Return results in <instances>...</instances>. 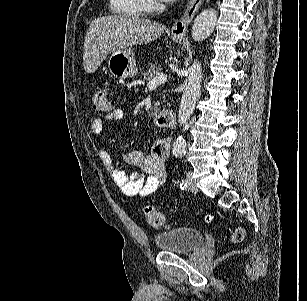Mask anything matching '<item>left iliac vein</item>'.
<instances>
[{"mask_svg": "<svg viewBox=\"0 0 307 301\" xmlns=\"http://www.w3.org/2000/svg\"><path fill=\"white\" fill-rule=\"evenodd\" d=\"M186 177H187V180L189 181V183L187 185V189L192 191L193 193H196L197 192V188H196L195 184L192 181V174L189 172Z\"/></svg>", "mask_w": 307, "mask_h": 301, "instance_id": "obj_1", "label": "left iliac vein"}]
</instances>
